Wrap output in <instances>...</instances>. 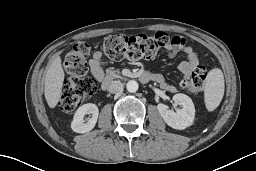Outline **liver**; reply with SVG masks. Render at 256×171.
<instances>
[{"label": "liver", "instance_id": "liver-1", "mask_svg": "<svg viewBox=\"0 0 256 171\" xmlns=\"http://www.w3.org/2000/svg\"><path fill=\"white\" fill-rule=\"evenodd\" d=\"M64 71L61 65L60 56H56L45 75L44 94L50 108H55L62 94Z\"/></svg>", "mask_w": 256, "mask_h": 171}]
</instances>
